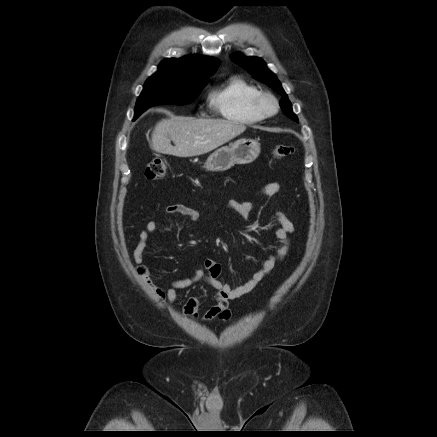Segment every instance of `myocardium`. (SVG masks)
<instances>
[{
  "instance_id": "f54148a6",
  "label": "myocardium",
  "mask_w": 437,
  "mask_h": 437,
  "mask_svg": "<svg viewBox=\"0 0 437 437\" xmlns=\"http://www.w3.org/2000/svg\"><path fill=\"white\" fill-rule=\"evenodd\" d=\"M255 110L263 117H271L278 113L279 102L270 92H260L254 99ZM271 105V108L268 105Z\"/></svg>"
}]
</instances>
